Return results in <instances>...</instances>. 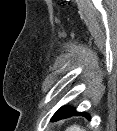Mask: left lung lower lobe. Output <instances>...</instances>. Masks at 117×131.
Here are the masks:
<instances>
[{"label":"left lung lower lobe","mask_w":117,"mask_h":131,"mask_svg":"<svg viewBox=\"0 0 117 131\" xmlns=\"http://www.w3.org/2000/svg\"><path fill=\"white\" fill-rule=\"evenodd\" d=\"M74 115H82V116L87 117L89 120L91 119V117H90L86 112H81V113H79V112H76L75 109L70 108V107H68L66 110H64V111L61 113L59 119L66 118V117H70V116H74Z\"/></svg>","instance_id":"0a47b994"}]
</instances>
